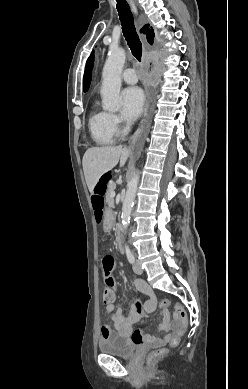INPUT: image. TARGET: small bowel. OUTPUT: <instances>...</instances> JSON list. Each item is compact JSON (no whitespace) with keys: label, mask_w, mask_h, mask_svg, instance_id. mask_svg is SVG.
<instances>
[{"label":"small bowel","mask_w":248,"mask_h":389,"mask_svg":"<svg viewBox=\"0 0 248 389\" xmlns=\"http://www.w3.org/2000/svg\"><path fill=\"white\" fill-rule=\"evenodd\" d=\"M132 283L137 291L147 295L149 299L144 304H142L139 300H135L132 306L127 310L117 308L115 300L118 290L116 292H112L110 290V286L107 290L114 294L115 299L106 304V312L110 318L111 325L107 324L102 327V338L111 334H117L130 339L135 344L146 343L150 347L160 345L168 340L169 336H165L163 338L146 336L144 332L139 329L133 330V325L141 319L143 312L149 313L155 309L156 297L152 289L145 281L141 279H134ZM161 315L162 323L159 325L157 332L169 331L176 326V322L171 319L170 314L167 311H163ZM134 338L136 341H133Z\"/></svg>","instance_id":"c3829d8e"}]
</instances>
